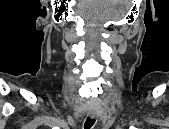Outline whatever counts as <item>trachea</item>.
Segmentation results:
<instances>
[{
    "label": "trachea",
    "mask_w": 169,
    "mask_h": 129,
    "mask_svg": "<svg viewBox=\"0 0 169 129\" xmlns=\"http://www.w3.org/2000/svg\"><path fill=\"white\" fill-rule=\"evenodd\" d=\"M94 123H95V120H94V119H92V118H90V117H87V118H86V121H85V123H84V128H85V129H90V128L93 126Z\"/></svg>",
    "instance_id": "obj_1"
}]
</instances>
